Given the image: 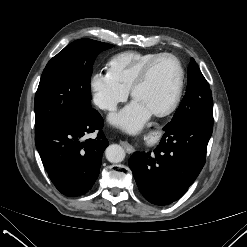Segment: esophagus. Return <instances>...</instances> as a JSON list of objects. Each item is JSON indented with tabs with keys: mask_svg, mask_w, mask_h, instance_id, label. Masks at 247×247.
Returning a JSON list of instances; mask_svg holds the SVG:
<instances>
[{
	"mask_svg": "<svg viewBox=\"0 0 247 247\" xmlns=\"http://www.w3.org/2000/svg\"><path fill=\"white\" fill-rule=\"evenodd\" d=\"M121 144H122V146L124 147L125 151L128 154H130V153H132L134 151V148L131 145H129L128 143L122 142Z\"/></svg>",
	"mask_w": 247,
	"mask_h": 247,
	"instance_id": "esophagus-1",
	"label": "esophagus"
}]
</instances>
